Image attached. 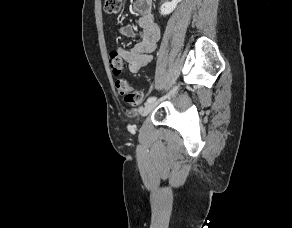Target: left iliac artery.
<instances>
[{"mask_svg":"<svg viewBox=\"0 0 292 228\" xmlns=\"http://www.w3.org/2000/svg\"><path fill=\"white\" fill-rule=\"evenodd\" d=\"M157 100V97H155V96H151V97H149L148 99H147V102H154V101H156Z\"/></svg>","mask_w":292,"mask_h":228,"instance_id":"left-iliac-artery-1","label":"left iliac artery"}]
</instances>
